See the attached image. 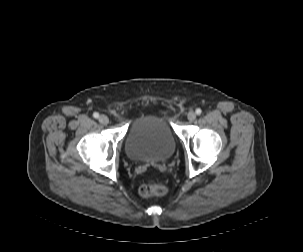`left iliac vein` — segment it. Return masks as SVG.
I'll use <instances>...</instances> for the list:
<instances>
[{
    "label": "left iliac vein",
    "instance_id": "4c4485c4",
    "mask_svg": "<svg viewBox=\"0 0 303 252\" xmlns=\"http://www.w3.org/2000/svg\"><path fill=\"white\" fill-rule=\"evenodd\" d=\"M187 118L189 121L193 122L196 119V113L195 112H189L187 115Z\"/></svg>",
    "mask_w": 303,
    "mask_h": 252
}]
</instances>
